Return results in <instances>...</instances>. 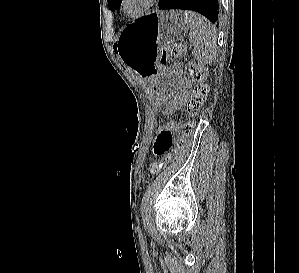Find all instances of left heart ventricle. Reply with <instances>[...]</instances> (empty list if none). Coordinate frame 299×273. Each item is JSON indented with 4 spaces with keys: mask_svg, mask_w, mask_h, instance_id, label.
<instances>
[{
    "mask_svg": "<svg viewBox=\"0 0 299 273\" xmlns=\"http://www.w3.org/2000/svg\"><path fill=\"white\" fill-rule=\"evenodd\" d=\"M144 0H127L126 2V10L129 12H134L141 8L143 5Z\"/></svg>",
    "mask_w": 299,
    "mask_h": 273,
    "instance_id": "left-heart-ventricle-1",
    "label": "left heart ventricle"
}]
</instances>
